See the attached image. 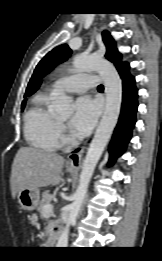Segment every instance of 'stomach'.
<instances>
[{
  "instance_id": "0dacf381",
  "label": "stomach",
  "mask_w": 162,
  "mask_h": 261,
  "mask_svg": "<svg viewBox=\"0 0 162 261\" xmlns=\"http://www.w3.org/2000/svg\"><path fill=\"white\" fill-rule=\"evenodd\" d=\"M70 173H75L76 169L68 167ZM18 202L24 210L32 211L38 204L40 199L39 189L25 188L18 192Z\"/></svg>"
}]
</instances>
